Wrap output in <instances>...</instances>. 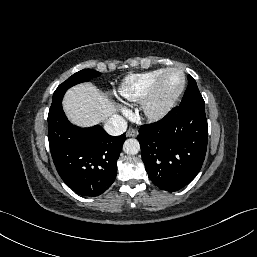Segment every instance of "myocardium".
I'll list each match as a JSON object with an SVG mask.
<instances>
[{"label":"myocardium","instance_id":"myocardium-1","mask_svg":"<svg viewBox=\"0 0 257 257\" xmlns=\"http://www.w3.org/2000/svg\"><path fill=\"white\" fill-rule=\"evenodd\" d=\"M172 72H178L182 75V84L180 89L172 96L163 98L161 91L165 78ZM186 86L185 73L179 68H168L166 69L156 80L150 93L143 100V112L148 119L159 120L165 117L170 110L174 107L176 102L181 97Z\"/></svg>","mask_w":257,"mask_h":257}]
</instances>
